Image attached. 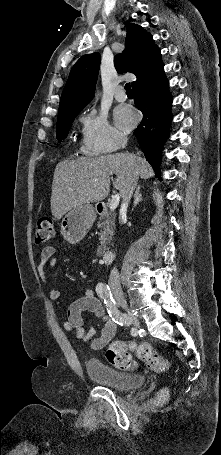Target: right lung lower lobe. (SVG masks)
<instances>
[{"label": "right lung lower lobe", "instance_id": "1", "mask_svg": "<svg viewBox=\"0 0 221 455\" xmlns=\"http://www.w3.org/2000/svg\"><path fill=\"white\" fill-rule=\"evenodd\" d=\"M163 66L160 54L133 85L135 106L143 113L135 135L147 161L159 177L161 151L169 136L172 120V97Z\"/></svg>", "mask_w": 221, "mask_h": 455}]
</instances>
